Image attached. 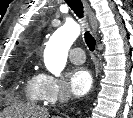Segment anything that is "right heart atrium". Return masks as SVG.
I'll list each match as a JSON object with an SVG mask.
<instances>
[{"mask_svg":"<svg viewBox=\"0 0 133 118\" xmlns=\"http://www.w3.org/2000/svg\"><path fill=\"white\" fill-rule=\"evenodd\" d=\"M39 89L41 99L45 103H55L68 96L66 83L56 76L42 73L39 75Z\"/></svg>","mask_w":133,"mask_h":118,"instance_id":"1","label":"right heart atrium"}]
</instances>
